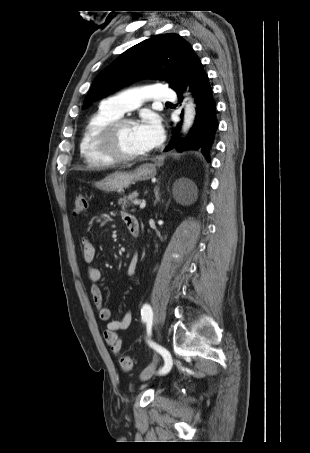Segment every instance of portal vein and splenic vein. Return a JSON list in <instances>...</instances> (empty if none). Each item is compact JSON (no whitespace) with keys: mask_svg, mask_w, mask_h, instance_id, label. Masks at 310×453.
<instances>
[{"mask_svg":"<svg viewBox=\"0 0 310 453\" xmlns=\"http://www.w3.org/2000/svg\"><path fill=\"white\" fill-rule=\"evenodd\" d=\"M134 204H139L141 209L145 208L146 206V202L144 200L142 202L134 201Z\"/></svg>","mask_w":310,"mask_h":453,"instance_id":"obj_1","label":"portal vein and splenic vein"}]
</instances>
